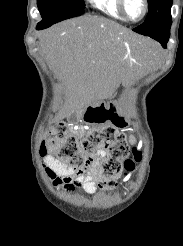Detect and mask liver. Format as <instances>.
Here are the masks:
<instances>
[{"label": "liver", "mask_w": 183, "mask_h": 246, "mask_svg": "<svg viewBox=\"0 0 183 246\" xmlns=\"http://www.w3.org/2000/svg\"><path fill=\"white\" fill-rule=\"evenodd\" d=\"M42 53L62 80L69 111L113 95L142 74L155 44L109 19L85 15L39 37Z\"/></svg>", "instance_id": "obj_1"}]
</instances>
